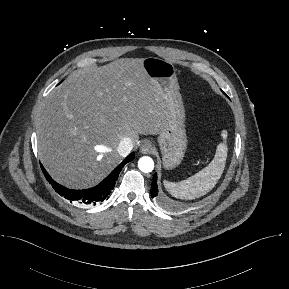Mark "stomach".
<instances>
[{"label":"stomach","mask_w":289,"mask_h":289,"mask_svg":"<svg viewBox=\"0 0 289 289\" xmlns=\"http://www.w3.org/2000/svg\"><path fill=\"white\" fill-rule=\"evenodd\" d=\"M142 65L168 105L167 123L159 133L158 143L164 168L173 169L181 163L187 148L185 111L179 92L176 69L173 63L157 57L144 58Z\"/></svg>","instance_id":"1"}]
</instances>
